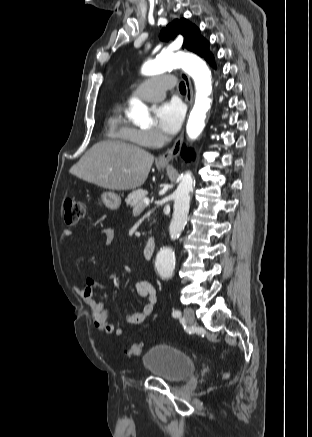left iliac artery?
Segmentation results:
<instances>
[{"label": "left iliac artery", "mask_w": 312, "mask_h": 437, "mask_svg": "<svg viewBox=\"0 0 312 437\" xmlns=\"http://www.w3.org/2000/svg\"><path fill=\"white\" fill-rule=\"evenodd\" d=\"M172 316H173L174 318H178V317L181 316V312H180L179 310H174V311L172 312Z\"/></svg>", "instance_id": "44dca946"}]
</instances>
